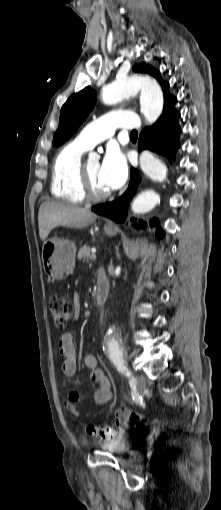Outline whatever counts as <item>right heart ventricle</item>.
Returning a JSON list of instances; mask_svg holds the SVG:
<instances>
[{"instance_id":"obj_1","label":"right heart ventricle","mask_w":221,"mask_h":510,"mask_svg":"<svg viewBox=\"0 0 221 510\" xmlns=\"http://www.w3.org/2000/svg\"><path fill=\"white\" fill-rule=\"evenodd\" d=\"M87 148L75 140L57 154L52 166L51 193L54 197L81 204L85 200L80 187L81 157Z\"/></svg>"}]
</instances>
